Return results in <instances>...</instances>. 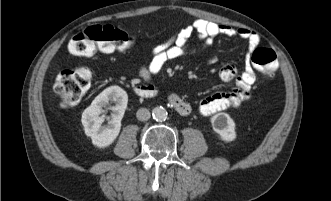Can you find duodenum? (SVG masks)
Wrapping results in <instances>:
<instances>
[{
    "instance_id": "obj_1",
    "label": "duodenum",
    "mask_w": 331,
    "mask_h": 201,
    "mask_svg": "<svg viewBox=\"0 0 331 201\" xmlns=\"http://www.w3.org/2000/svg\"><path fill=\"white\" fill-rule=\"evenodd\" d=\"M133 90L136 95L143 97V98H151L156 95L155 91L150 90L147 87L135 86Z\"/></svg>"
}]
</instances>
